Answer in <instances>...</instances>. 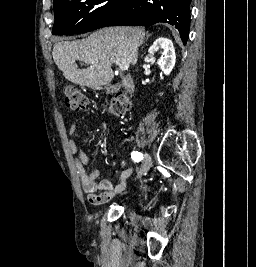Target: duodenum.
Segmentation results:
<instances>
[{
  "mask_svg": "<svg viewBox=\"0 0 256 267\" xmlns=\"http://www.w3.org/2000/svg\"><path fill=\"white\" fill-rule=\"evenodd\" d=\"M121 86L128 90V91H133L134 89V80L131 76L125 77L121 81ZM104 88L106 87L105 85L103 86ZM92 89L94 88L93 86L91 87ZM92 93L94 92L93 90L91 91Z\"/></svg>",
  "mask_w": 256,
  "mask_h": 267,
  "instance_id": "1",
  "label": "duodenum"
}]
</instances>
